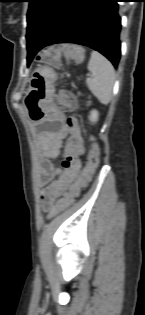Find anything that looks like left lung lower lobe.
Masks as SVG:
<instances>
[{
	"mask_svg": "<svg viewBox=\"0 0 145 315\" xmlns=\"http://www.w3.org/2000/svg\"><path fill=\"white\" fill-rule=\"evenodd\" d=\"M119 1L73 0L44 40L26 36L27 64L48 45L76 43L100 52L116 68L121 56Z\"/></svg>",
	"mask_w": 145,
	"mask_h": 315,
	"instance_id": "left-lung-lower-lobe-1",
	"label": "left lung lower lobe"
}]
</instances>
